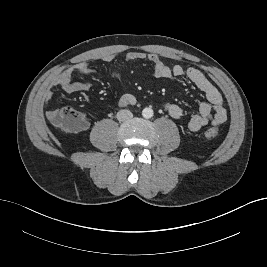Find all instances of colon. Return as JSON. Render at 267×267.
<instances>
[{
    "label": "colon",
    "mask_w": 267,
    "mask_h": 267,
    "mask_svg": "<svg viewBox=\"0 0 267 267\" xmlns=\"http://www.w3.org/2000/svg\"><path fill=\"white\" fill-rule=\"evenodd\" d=\"M51 121L54 126L65 132H77L82 129L84 125L83 116L71 107L57 109ZM217 135L218 132L215 128H210L205 131V136L207 138H215Z\"/></svg>",
    "instance_id": "colon-1"
}]
</instances>
